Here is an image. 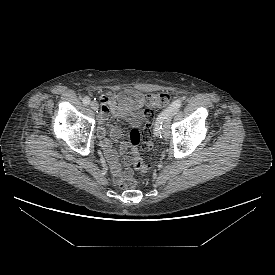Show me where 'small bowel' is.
<instances>
[{
    "mask_svg": "<svg viewBox=\"0 0 275 275\" xmlns=\"http://www.w3.org/2000/svg\"><path fill=\"white\" fill-rule=\"evenodd\" d=\"M101 101V116L99 121L98 134L102 146L105 150L106 157L110 163L111 173L116 183L120 184L124 179L131 174L130 170L121 172V166L117 159V154L114 148L113 140H117L121 136V131L118 127L112 125L109 121L110 116L119 120H126L131 124L144 127V95L133 89L126 88L120 93L109 92L103 95ZM109 135L110 139L107 138ZM127 144L122 142L119 145L121 153L126 152ZM133 161L132 155L126 156V162L129 164Z\"/></svg>",
    "mask_w": 275,
    "mask_h": 275,
    "instance_id": "small-bowel-1",
    "label": "small bowel"
}]
</instances>
